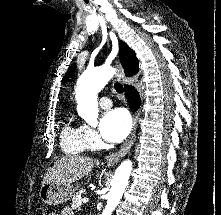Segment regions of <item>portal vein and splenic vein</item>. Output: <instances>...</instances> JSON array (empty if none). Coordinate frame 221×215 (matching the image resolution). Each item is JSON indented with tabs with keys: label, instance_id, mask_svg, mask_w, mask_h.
I'll return each mask as SVG.
<instances>
[{
	"label": "portal vein and splenic vein",
	"instance_id": "1",
	"mask_svg": "<svg viewBox=\"0 0 221 215\" xmlns=\"http://www.w3.org/2000/svg\"><path fill=\"white\" fill-rule=\"evenodd\" d=\"M88 201H89V198H83V199H82V202H83V203H87Z\"/></svg>",
	"mask_w": 221,
	"mask_h": 215
}]
</instances>
